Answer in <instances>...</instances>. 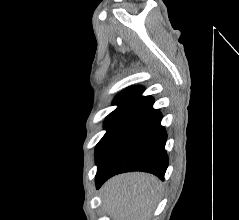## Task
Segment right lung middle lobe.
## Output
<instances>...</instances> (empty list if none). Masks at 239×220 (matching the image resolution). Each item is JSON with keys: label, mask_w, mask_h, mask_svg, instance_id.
Wrapping results in <instances>:
<instances>
[{"label": "right lung middle lobe", "mask_w": 239, "mask_h": 220, "mask_svg": "<svg viewBox=\"0 0 239 220\" xmlns=\"http://www.w3.org/2000/svg\"><path fill=\"white\" fill-rule=\"evenodd\" d=\"M131 108L124 107V108H117L112 113H110L105 120L104 126L107 130L106 134L103 138L99 141L96 146L95 156H96V164L99 163L101 157L103 156L107 146L111 142L112 138L114 137L115 133L121 126L122 122L130 112Z\"/></svg>", "instance_id": "right-lung-middle-lobe-1"}]
</instances>
